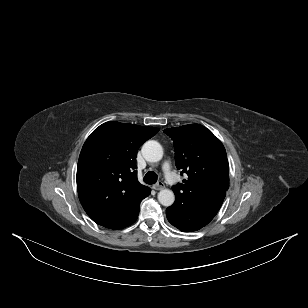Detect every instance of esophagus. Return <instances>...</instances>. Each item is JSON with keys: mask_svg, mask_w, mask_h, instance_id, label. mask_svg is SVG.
Instances as JSON below:
<instances>
[{"mask_svg": "<svg viewBox=\"0 0 308 308\" xmlns=\"http://www.w3.org/2000/svg\"><path fill=\"white\" fill-rule=\"evenodd\" d=\"M164 188L163 182H158L157 184L153 185L154 190H161Z\"/></svg>", "mask_w": 308, "mask_h": 308, "instance_id": "34e87169", "label": "esophagus"}]
</instances>
